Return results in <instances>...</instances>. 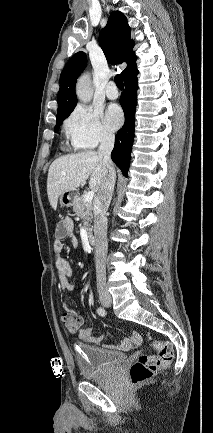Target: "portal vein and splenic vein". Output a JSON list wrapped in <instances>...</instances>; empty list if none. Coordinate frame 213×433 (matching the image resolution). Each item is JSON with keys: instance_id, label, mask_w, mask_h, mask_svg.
Returning <instances> with one entry per match:
<instances>
[{"instance_id": "portal-vein-and-splenic-vein-1", "label": "portal vein and splenic vein", "mask_w": 213, "mask_h": 433, "mask_svg": "<svg viewBox=\"0 0 213 433\" xmlns=\"http://www.w3.org/2000/svg\"><path fill=\"white\" fill-rule=\"evenodd\" d=\"M94 198V191H89L88 193L85 194L84 196V200L86 202H91Z\"/></svg>"}]
</instances>
